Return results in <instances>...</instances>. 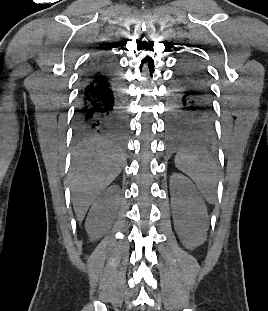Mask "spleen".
Masks as SVG:
<instances>
[{"mask_svg": "<svg viewBox=\"0 0 268 311\" xmlns=\"http://www.w3.org/2000/svg\"><path fill=\"white\" fill-rule=\"evenodd\" d=\"M176 167L196 184L202 196L210 203L215 200L216 164L209 153L183 150L175 157Z\"/></svg>", "mask_w": 268, "mask_h": 311, "instance_id": "obj_1", "label": "spleen"}]
</instances>
